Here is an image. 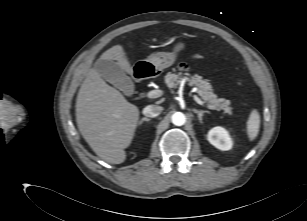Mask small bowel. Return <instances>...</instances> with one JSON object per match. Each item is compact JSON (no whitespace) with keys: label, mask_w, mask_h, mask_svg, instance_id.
Returning <instances> with one entry per match:
<instances>
[{"label":"small bowel","mask_w":307,"mask_h":221,"mask_svg":"<svg viewBox=\"0 0 307 221\" xmlns=\"http://www.w3.org/2000/svg\"><path fill=\"white\" fill-rule=\"evenodd\" d=\"M195 58L199 59V58H202V56L200 54H196Z\"/></svg>","instance_id":"small-bowel-1"}]
</instances>
